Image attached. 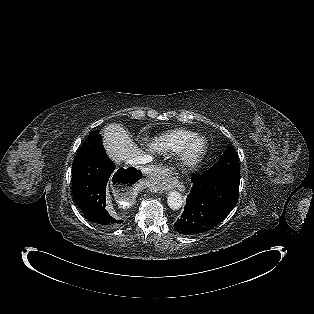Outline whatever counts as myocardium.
<instances>
[{
	"label": "myocardium",
	"mask_w": 314,
	"mask_h": 314,
	"mask_svg": "<svg viewBox=\"0 0 314 314\" xmlns=\"http://www.w3.org/2000/svg\"><path fill=\"white\" fill-rule=\"evenodd\" d=\"M206 152V140L201 136H195L190 139L181 150L179 164L184 168H193L202 161Z\"/></svg>",
	"instance_id": "myocardium-1"
}]
</instances>
